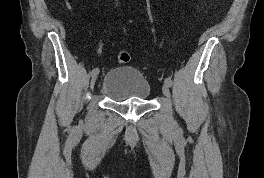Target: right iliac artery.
Masks as SVG:
<instances>
[{"label":"right iliac artery","mask_w":264,"mask_h":178,"mask_svg":"<svg viewBox=\"0 0 264 178\" xmlns=\"http://www.w3.org/2000/svg\"><path fill=\"white\" fill-rule=\"evenodd\" d=\"M99 73V69L98 68H94L91 72V75H97Z\"/></svg>","instance_id":"82829eb1"}]
</instances>
